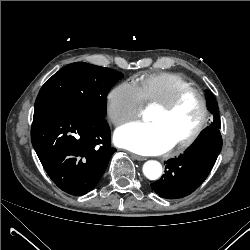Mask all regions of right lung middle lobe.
I'll list each match as a JSON object with an SVG mask.
<instances>
[{
  "label": "right lung middle lobe",
  "instance_id": "1",
  "mask_svg": "<svg viewBox=\"0 0 250 250\" xmlns=\"http://www.w3.org/2000/svg\"><path fill=\"white\" fill-rule=\"evenodd\" d=\"M122 77L123 74L110 68L83 62L69 64L42 86L35 108L61 105L105 117L107 94Z\"/></svg>",
  "mask_w": 250,
  "mask_h": 250
}]
</instances>
